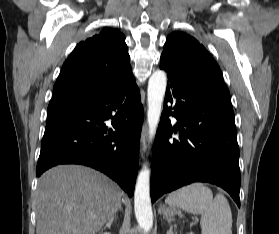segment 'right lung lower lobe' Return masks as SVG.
I'll use <instances>...</instances> for the list:
<instances>
[{"instance_id":"1","label":"right lung lower lobe","mask_w":279,"mask_h":234,"mask_svg":"<svg viewBox=\"0 0 279 234\" xmlns=\"http://www.w3.org/2000/svg\"><path fill=\"white\" fill-rule=\"evenodd\" d=\"M134 76L88 100L48 110L36 175L58 164L90 166L133 196L144 118ZM111 119L113 130L105 121Z\"/></svg>"}]
</instances>
